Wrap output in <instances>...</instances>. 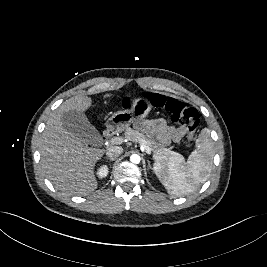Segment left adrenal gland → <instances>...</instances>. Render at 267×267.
Listing matches in <instances>:
<instances>
[{"instance_id":"1","label":"left adrenal gland","mask_w":267,"mask_h":267,"mask_svg":"<svg viewBox=\"0 0 267 267\" xmlns=\"http://www.w3.org/2000/svg\"><path fill=\"white\" fill-rule=\"evenodd\" d=\"M148 169H151V164L149 160H148Z\"/></svg>"}]
</instances>
